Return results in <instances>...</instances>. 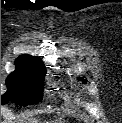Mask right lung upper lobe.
I'll return each mask as SVG.
<instances>
[{"label":"right lung upper lobe","mask_w":122,"mask_h":123,"mask_svg":"<svg viewBox=\"0 0 122 123\" xmlns=\"http://www.w3.org/2000/svg\"><path fill=\"white\" fill-rule=\"evenodd\" d=\"M16 65L45 70L44 63L38 58L30 55H21L16 61Z\"/></svg>","instance_id":"right-lung-upper-lobe-1"}]
</instances>
